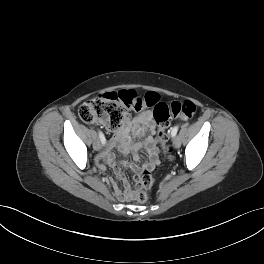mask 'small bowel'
Here are the masks:
<instances>
[{
	"mask_svg": "<svg viewBox=\"0 0 264 264\" xmlns=\"http://www.w3.org/2000/svg\"><path fill=\"white\" fill-rule=\"evenodd\" d=\"M155 127L153 113L150 110L141 111L136 116L127 119L125 125L116 131L114 137L109 142L108 149L100 154L99 159L110 165L115 174L123 181V187H120L116 181L112 182L114 193L119 200L132 199V191L110 149L118 145L122 153L127 154L131 152L135 160H137L139 151L144 148L148 153L149 159L143 167L135 163H124V166L134 172H141L143 169H154L159 162L156 138L154 136ZM147 133L149 135L142 142L131 139V134L138 137Z\"/></svg>",
	"mask_w": 264,
	"mask_h": 264,
	"instance_id": "obj_1",
	"label": "small bowel"
}]
</instances>
